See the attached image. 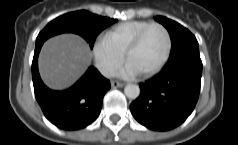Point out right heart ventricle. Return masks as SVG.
Returning <instances> with one entry per match:
<instances>
[{
  "label": "right heart ventricle",
  "instance_id": "right-heart-ventricle-1",
  "mask_svg": "<svg viewBox=\"0 0 238 145\" xmlns=\"http://www.w3.org/2000/svg\"><path fill=\"white\" fill-rule=\"evenodd\" d=\"M151 22L145 20H133L120 23L109 29L104 39L113 47L124 54L126 48L136 35Z\"/></svg>",
  "mask_w": 238,
  "mask_h": 145
}]
</instances>
